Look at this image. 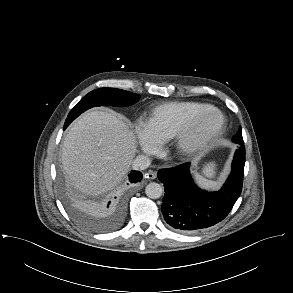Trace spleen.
<instances>
[{
  "mask_svg": "<svg viewBox=\"0 0 293 293\" xmlns=\"http://www.w3.org/2000/svg\"><path fill=\"white\" fill-rule=\"evenodd\" d=\"M213 167H214V165L210 164L205 168L204 172L206 173V175H212L213 174ZM198 180H199L200 183H202L205 186H208V187H215L216 186L215 182L207 180L202 176H198Z\"/></svg>",
  "mask_w": 293,
  "mask_h": 293,
  "instance_id": "spleen-1",
  "label": "spleen"
}]
</instances>
